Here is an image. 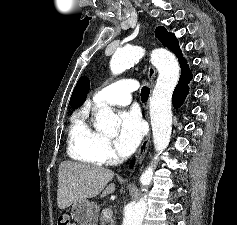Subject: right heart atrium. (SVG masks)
Instances as JSON below:
<instances>
[{"label": "right heart atrium", "instance_id": "1", "mask_svg": "<svg viewBox=\"0 0 237 225\" xmlns=\"http://www.w3.org/2000/svg\"><path fill=\"white\" fill-rule=\"evenodd\" d=\"M98 155L104 163H112L116 160V153L109 139L102 137L97 146Z\"/></svg>", "mask_w": 237, "mask_h": 225}]
</instances>
